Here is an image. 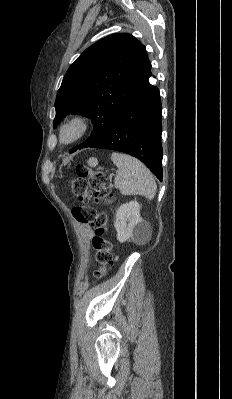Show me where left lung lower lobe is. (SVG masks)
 Listing matches in <instances>:
<instances>
[{
	"mask_svg": "<svg viewBox=\"0 0 232 399\" xmlns=\"http://www.w3.org/2000/svg\"><path fill=\"white\" fill-rule=\"evenodd\" d=\"M151 63L109 131L92 148L111 149L141 160L162 181V106L160 93L149 83Z\"/></svg>",
	"mask_w": 232,
	"mask_h": 399,
	"instance_id": "1",
	"label": "left lung lower lobe"
}]
</instances>
